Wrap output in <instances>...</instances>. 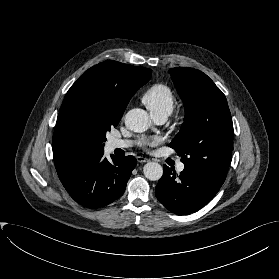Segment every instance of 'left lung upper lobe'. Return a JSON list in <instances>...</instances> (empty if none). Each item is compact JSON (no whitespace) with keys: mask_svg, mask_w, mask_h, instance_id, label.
Here are the masks:
<instances>
[{"mask_svg":"<svg viewBox=\"0 0 279 279\" xmlns=\"http://www.w3.org/2000/svg\"><path fill=\"white\" fill-rule=\"evenodd\" d=\"M185 107L180 132L170 143L185 168L224 183L231 162L233 123L222 91L203 72L186 67L169 70Z\"/></svg>","mask_w":279,"mask_h":279,"instance_id":"1","label":"left lung upper lobe"}]
</instances>
